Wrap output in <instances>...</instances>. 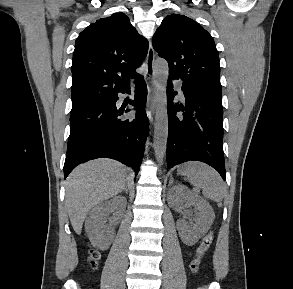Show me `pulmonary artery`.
Masks as SVG:
<instances>
[{
  "instance_id": "1",
  "label": "pulmonary artery",
  "mask_w": 293,
  "mask_h": 289,
  "mask_svg": "<svg viewBox=\"0 0 293 289\" xmlns=\"http://www.w3.org/2000/svg\"><path fill=\"white\" fill-rule=\"evenodd\" d=\"M174 83L176 84V86H177V88H178L179 92L182 94V89H181V81H179V80H176V81H174Z\"/></svg>"
}]
</instances>
